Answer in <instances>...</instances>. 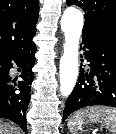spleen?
I'll return each instance as SVG.
<instances>
[{
	"label": "spleen",
	"mask_w": 116,
	"mask_h": 134,
	"mask_svg": "<svg viewBox=\"0 0 116 134\" xmlns=\"http://www.w3.org/2000/svg\"><path fill=\"white\" fill-rule=\"evenodd\" d=\"M86 121L102 122L107 127H111V131L116 134V108L96 106L77 111L68 120L70 132L76 134L77 128L82 126Z\"/></svg>",
	"instance_id": "spleen-1"
}]
</instances>
